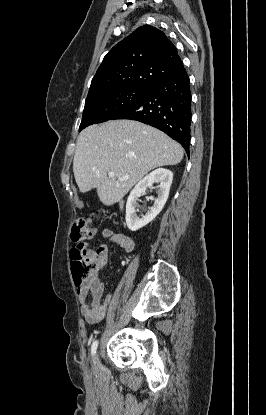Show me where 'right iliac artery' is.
Returning a JSON list of instances; mask_svg holds the SVG:
<instances>
[{
	"label": "right iliac artery",
	"instance_id": "1",
	"mask_svg": "<svg viewBox=\"0 0 266 415\" xmlns=\"http://www.w3.org/2000/svg\"><path fill=\"white\" fill-rule=\"evenodd\" d=\"M97 346H98V341L96 340V341L93 342V344L91 346V354H92V356L95 355L96 350H97Z\"/></svg>",
	"mask_w": 266,
	"mask_h": 415
}]
</instances>
